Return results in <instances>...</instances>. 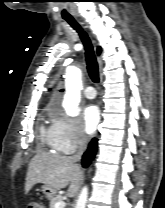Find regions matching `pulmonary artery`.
<instances>
[{"label": "pulmonary artery", "instance_id": "pulmonary-artery-1", "mask_svg": "<svg viewBox=\"0 0 165 208\" xmlns=\"http://www.w3.org/2000/svg\"><path fill=\"white\" fill-rule=\"evenodd\" d=\"M84 96L87 99H94L96 97V92L92 86H87L84 90Z\"/></svg>", "mask_w": 165, "mask_h": 208}]
</instances>
